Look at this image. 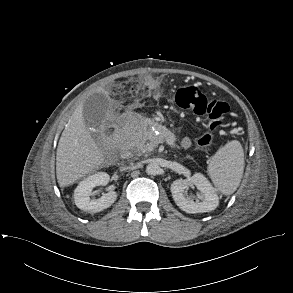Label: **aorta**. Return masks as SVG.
Instances as JSON below:
<instances>
[{
	"label": "aorta",
	"mask_w": 293,
	"mask_h": 293,
	"mask_svg": "<svg viewBox=\"0 0 293 293\" xmlns=\"http://www.w3.org/2000/svg\"><path fill=\"white\" fill-rule=\"evenodd\" d=\"M161 171L160 166L156 162H151L146 167V173L148 175H158Z\"/></svg>",
	"instance_id": "obj_1"
}]
</instances>
